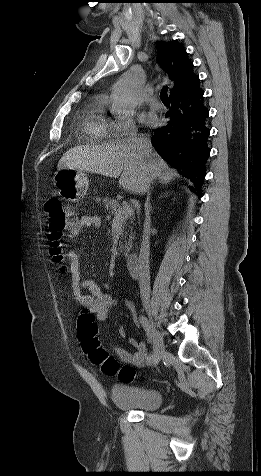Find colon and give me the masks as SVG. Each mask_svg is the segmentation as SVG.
<instances>
[{
	"instance_id": "1",
	"label": "colon",
	"mask_w": 261,
	"mask_h": 476,
	"mask_svg": "<svg viewBox=\"0 0 261 476\" xmlns=\"http://www.w3.org/2000/svg\"><path fill=\"white\" fill-rule=\"evenodd\" d=\"M47 218L49 253L52 260L61 263L64 260L63 244L66 233L76 226L74 213L69 210L60 198L53 197L45 203ZM95 315L83 310L78 318V337L83 350L95 366L110 376L117 375L123 382H131L135 378V369L129 365L120 367L116 360L102 347L97 337Z\"/></svg>"
}]
</instances>
